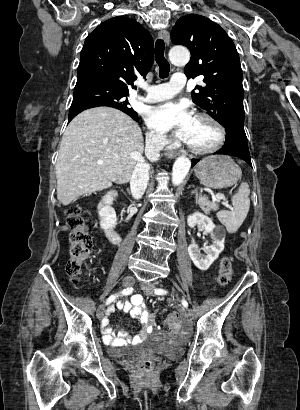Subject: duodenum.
Listing matches in <instances>:
<instances>
[{
	"mask_svg": "<svg viewBox=\"0 0 300 410\" xmlns=\"http://www.w3.org/2000/svg\"><path fill=\"white\" fill-rule=\"evenodd\" d=\"M110 197H112L114 199H117L119 197V194H118L117 191H111L110 192ZM100 208L102 210H104L105 204H102L100 206ZM105 234H106L107 238L114 244H118L121 240V235L112 226H109V227L106 228Z\"/></svg>",
	"mask_w": 300,
	"mask_h": 410,
	"instance_id": "1",
	"label": "duodenum"
}]
</instances>
